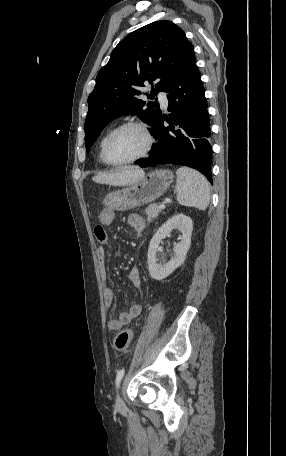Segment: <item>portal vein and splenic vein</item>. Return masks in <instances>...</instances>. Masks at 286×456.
Listing matches in <instances>:
<instances>
[{
  "label": "portal vein and splenic vein",
  "mask_w": 286,
  "mask_h": 456,
  "mask_svg": "<svg viewBox=\"0 0 286 456\" xmlns=\"http://www.w3.org/2000/svg\"><path fill=\"white\" fill-rule=\"evenodd\" d=\"M158 207H159V209H163L165 207V204L161 203Z\"/></svg>",
  "instance_id": "1"
}]
</instances>
